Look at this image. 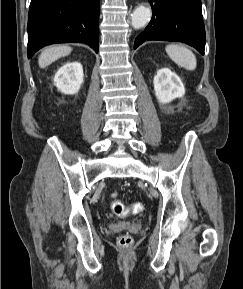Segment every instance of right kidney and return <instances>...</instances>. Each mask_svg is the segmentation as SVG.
<instances>
[{
  "mask_svg": "<svg viewBox=\"0 0 243 289\" xmlns=\"http://www.w3.org/2000/svg\"><path fill=\"white\" fill-rule=\"evenodd\" d=\"M83 67L79 62L64 64L55 74L54 84L64 94L78 93L83 83Z\"/></svg>",
  "mask_w": 243,
  "mask_h": 289,
  "instance_id": "ca27d5eb",
  "label": "right kidney"
}]
</instances>
